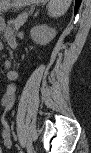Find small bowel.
Returning a JSON list of instances; mask_svg holds the SVG:
<instances>
[{
  "instance_id": "obj_1",
  "label": "small bowel",
  "mask_w": 91,
  "mask_h": 153,
  "mask_svg": "<svg viewBox=\"0 0 91 153\" xmlns=\"http://www.w3.org/2000/svg\"><path fill=\"white\" fill-rule=\"evenodd\" d=\"M14 92H15L14 86L9 85L7 87L5 94L3 95L1 99V105L5 111H9L12 107V104L14 101ZM1 137H2L3 144L6 147H10L12 144L11 131L6 121H3L1 125Z\"/></svg>"
}]
</instances>
